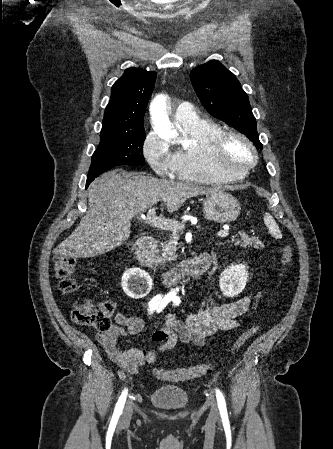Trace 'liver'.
Segmentation results:
<instances>
[{"instance_id":"6515ba94","label":"liver","mask_w":333,"mask_h":449,"mask_svg":"<svg viewBox=\"0 0 333 449\" xmlns=\"http://www.w3.org/2000/svg\"><path fill=\"white\" fill-rule=\"evenodd\" d=\"M217 191L119 169L106 172L90 184L87 214L55 253L78 258L104 254L128 240L131 219L159 201L166 204L167 212L173 213L187 199Z\"/></svg>"}]
</instances>
